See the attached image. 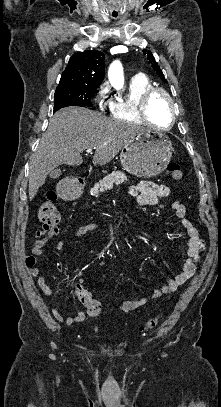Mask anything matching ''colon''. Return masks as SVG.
<instances>
[{"label": "colon", "mask_w": 221, "mask_h": 407, "mask_svg": "<svg viewBox=\"0 0 221 407\" xmlns=\"http://www.w3.org/2000/svg\"><path fill=\"white\" fill-rule=\"evenodd\" d=\"M167 172L174 181H180L183 178V170L176 162H170L167 165ZM56 195L49 192L46 195V200L42 203L38 217L41 222V229L37 232L41 237L49 238L59 230L60 213L55 204ZM77 291L80 302L87 308L90 316H98L101 313V305L95 300L91 294L77 283ZM156 318L148 320L141 326L142 332H147L157 325Z\"/></svg>", "instance_id": "colon-1"}]
</instances>
